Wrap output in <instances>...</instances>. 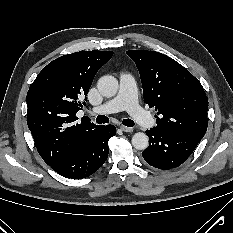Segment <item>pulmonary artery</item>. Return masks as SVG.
Returning a JSON list of instances; mask_svg holds the SVG:
<instances>
[{
  "instance_id": "obj_1",
  "label": "pulmonary artery",
  "mask_w": 233,
  "mask_h": 233,
  "mask_svg": "<svg viewBox=\"0 0 233 233\" xmlns=\"http://www.w3.org/2000/svg\"><path fill=\"white\" fill-rule=\"evenodd\" d=\"M119 79L120 85L117 95L104 104L93 108L92 112L95 114H111L127 110L142 126L146 128L154 126V118L138 104L134 77L130 73H121Z\"/></svg>"
}]
</instances>
